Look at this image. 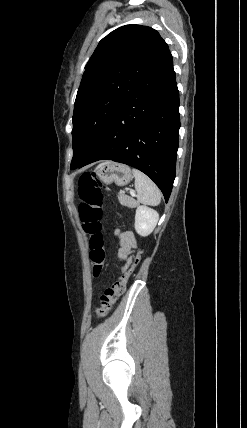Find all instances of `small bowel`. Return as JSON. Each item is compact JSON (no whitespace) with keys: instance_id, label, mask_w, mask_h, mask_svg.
Wrapping results in <instances>:
<instances>
[{"instance_id":"small-bowel-1","label":"small bowel","mask_w":247,"mask_h":428,"mask_svg":"<svg viewBox=\"0 0 247 428\" xmlns=\"http://www.w3.org/2000/svg\"><path fill=\"white\" fill-rule=\"evenodd\" d=\"M117 235L119 237V248L116 253V258L119 261L124 262L123 268L125 269L130 261L129 255L136 247V239L134 235L129 231H125L122 233L117 232Z\"/></svg>"}]
</instances>
